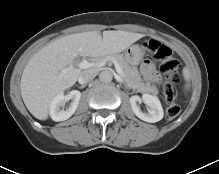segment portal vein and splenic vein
<instances>
[{
    "label": "portal vein and splenic vein",
    "mask_w": 219,
    "mask_h": 174,
    "mask_svg": "<svg viewBox=\"0 0 219 174\" xmlns=\"http://www.w3.org/2000/svg\"><path fill=\"white\" fill-rule=\"evenodd\" d=\"M107 60H111L116 68V71L117 73L120 75V76H123V70L121 68V66L119 65V63L115 60V59H111V58H106V59H102L100 60L99 62H87V61H82L78 64V67L80 69H87V68H90V67H100V66H104L107 62ZM73 66H69L68 68L64 69L62 71V74L66 73L68 70H70Z\"/></svg>",
    "instance_id": "obj_1"
}]
</instances>
